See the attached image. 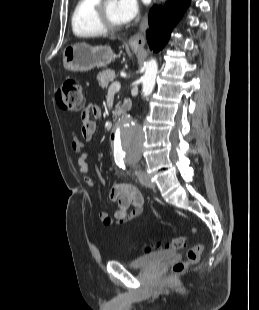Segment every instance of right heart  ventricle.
<instances>
[{
    "instance_id": "e07e8e85",
    "label": "right heart ventricle",
    "mask_w": 259,
    "mask_h": 310,
    "mask_svg": "<svg viewBox=\"0 0 259 310\" xmlns=\"http://www.w3.org/2000/svg\"><path fill=\"white\" fill-rule=\"evenodd\" d=\"M98 0H78L71 18L72 30L78 37H96L103 33L94 18Z\"/></svg>"
}]
</instances>
